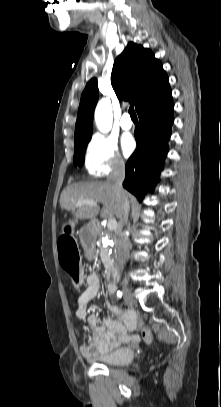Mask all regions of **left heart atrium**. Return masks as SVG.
<instances>
[{"instance_id": "left-heart-atrium-1", "label": "left heart atrium", "mask_w": 221, "mask_h": 407, "mask_svg": "<svg viewBox=\"0 0 221 407\" xmlns=\"http://www.w3.org/2000/svg\"><path fill=\"white\" fill-rule=\"evenodd\" d=\"M121 144L125 155H130L135 149V141L131 135H124Z\"/></svg>"}]
</instances>
